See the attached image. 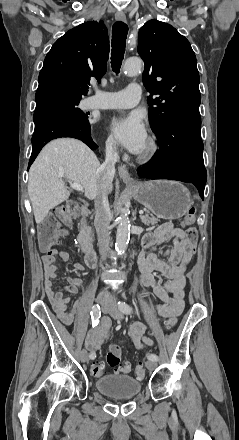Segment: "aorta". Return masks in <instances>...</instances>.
Segmentation results:
<instances>
[{
  "label": "aorta",
  "mask_w": 239,
  "mask_h": 440,
  "mask_svg": "<svg viewBox=\"0 0 239 440\" xmlns=\"http://www.w3.org/2000/svg\"><path fill=\"white\" fill-rule=\"evenodd\" d=\"M142 66V60H138V58H131V60H126L124 70L127 72L128 76H137ZM127 214V208H122L118 222L115 244V250H117L118 254H124L128 246L130 224Z\"/></svg>",
  "instance_id": "obj_1"
}]
</instances>
